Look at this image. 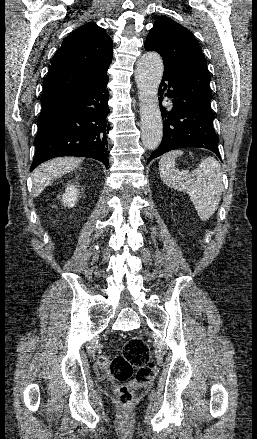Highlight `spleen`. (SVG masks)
Segmentation results:
<instances>
[{
  "mask_svg": "<svg viewBox=\"0 0 257 439\" xmlns=\"http://www.w3.org/2000/svg\"><path fill=\"white\" fill-rule=\"evenodd\" d=\"M182 150L166 153L159 161L160 178L167 186L190 196L199 218L207 221L215 213L221 200L223 181L220 163L213 157H204L190 175L175 170V159Z\"/></svg>",
  "mask_w": 257,
  "mask_h": 439,
  "instance_id": "spleen-1",
  "label": "spleen"
}]
</instances>
